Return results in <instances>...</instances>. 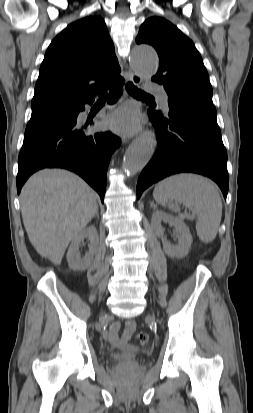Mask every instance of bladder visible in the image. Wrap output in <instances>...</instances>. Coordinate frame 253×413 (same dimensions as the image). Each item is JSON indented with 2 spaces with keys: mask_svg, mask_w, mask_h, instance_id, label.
Segmentation results:
<instances>
[{
  "mask_svg": "<svg viewBox=\"0 0 253 413\" xmlns=\"http://www.w3.org/2000/svg\"><path fill=\"white\" fill-rule=\"evenodd\" d=\"M138 359V354L135 350L129 349L124 352L116 353L112 356V360L116 364H130Z\"/></svg>",
  "mask_w": 253,
  "mask_h": 413,
  "instance_id": "bladder-1",
  "label": "bladder"
}]
</instances>
